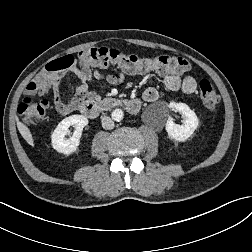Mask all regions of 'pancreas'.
<instances>
[{"label":"pancreas","instance_id":"pancreas-1","mask_svg":"<svg viewBox=\"0 0 252 252\" xmlns=\"http://www.w3.org/2000/svg\"><path fill=\"white\" fill-rule=\"evenodd\" d=\"M117 102L114 98H104L101 100L100 98L97 99L98 106L101 110H108Z\"/></svg>","mask_w":252,"mask_h":252}]
</instances>
